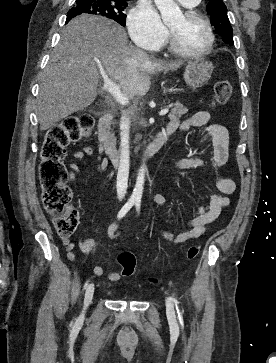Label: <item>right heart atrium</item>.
I'll list each match as a JSON object with an SVG mask.
<instances>
[{"label":"right heart atrium","mask_w":276,"mask_h":363,"mask_svg":"<svg viewBox=\"0 0 276 363\" xmlns=\"http://www.w3.org/2000/svg\"><path fill=\"white\" fill-rule=\"evenodd\" d=\"M128 28L134 42L148 50L160 49L168 39V29L156 9L141 0L129 13Z\"/></svg>","instance_id":"right-heart-atrium-1"}]
</instances>
